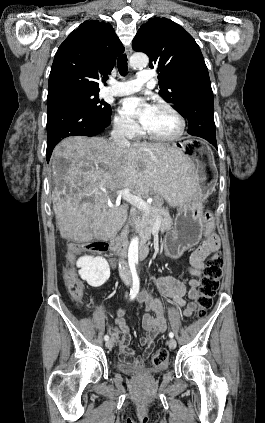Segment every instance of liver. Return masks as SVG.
<instances>
[{
    "label": "liver",
    "instance_id": "6515ba94",
    "mask_svg": "<svg viewBox=\"0 0 265 423\" xmlns=\"http://www.w3.org/2000/svg\"><path fill=\"white\" fill-rule=\"evenodd\" d=\"M51 163L60 235L76 242L108 240L117 234L128 208L108 203L124 188L136 196L157 194L171 206H181L187 194L181 154L166 143L125 146L102 137H68L55 147Z\"/></svg>",
    "mask_w": 265,
    "mask_h": 423
}]
</instances>
